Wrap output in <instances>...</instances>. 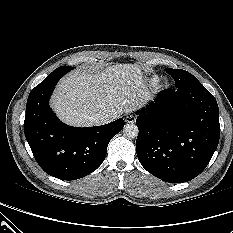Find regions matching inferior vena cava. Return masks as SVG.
Segmentation results:
<instances>
[{"label": "inferior vena cava", "instance_id": "602c4592", "mask_svg": "<svg viewBox=\"0 0 233 233\" xmlns=\"http://www.w3.org/2000/svg\"><path fill=\"white\" fill-rule=\"evenodd\" d=\"M93 121L98 124H106L112 121V117L108 114H96L92 117Z\"/></svg>", "mask_w": 233, "mask_h": 233}]
</instances>
